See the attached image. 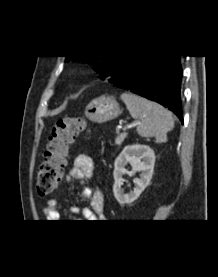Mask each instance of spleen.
I'll list each match as a JSON object with an SVG mask.
<instances>
[{
  "mask_svg": "<svg viewBox=\"0 0 218 277\" xmlns=\"http://www.w3.org/2000/svg\"><path fill=\"white\" fill-rule=\"evenodd\" d=\"M121 99L130 115L140 120L137 132L142 137H156L165 141L166 134L174 128L172 114L161 105L132 93H123Z\"/></svg>",
  "mask_w": 218,
  "mask_h": 277,
  "instance_id": "3e777b00",
  "label": "spleen"
}]
</instances>
